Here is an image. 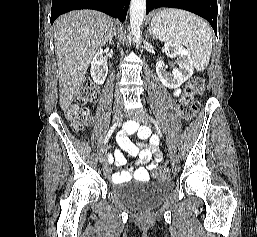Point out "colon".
<instances>
[{
	"label": "colon",
	"instance_id": "1",
	"mask_svg": "<svg viewBox=\"0 0 257 237\" xmlns=\"http://www.w3.org/2000/svg\"><path fill=\"white\" fill-rule=\"evenodd\" d=\"M206 85V80L203 76H194L187 83L184 93L180 99V115L184 120H191L195 117L198 110V105L194 101V97L201 94ZM96 97L95 88L90 83H85L73 104L66 110V116L70 120L74 130L81 131L89 123V115L84 107V104L93 100ZM174 169V163L168 162L164 167L157 169L153 173L155 180H166L171 177Z\"/></svg>",
	"mask_w": 257,
	"mask_h": 237
}]
</instances>
